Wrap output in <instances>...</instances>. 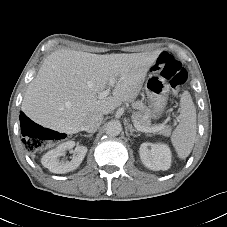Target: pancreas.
I'll return each instance as SVG.
<instances>
[{
	"label": "pancreas",
	"mask_w": 227,
	"mask_h": 227,
	"mask_svg": "<svg viewBox=\"0 0 227 227\" xmlns=\"http://www.w3.org/2000/svg\"><path fill=\"white\" fill-rule=\"evenodd\" d=\"M132 107L136 110L133 117L139 122L140 125L144 127H153L150 120L151 112L147 106H145L141 101H136L132 104ZM154 126H161L159 132L164 136H169L171 134V129L164 124Z\"/></svg>",
	"instance_id": "cf45deb5"
}]
</instances>
